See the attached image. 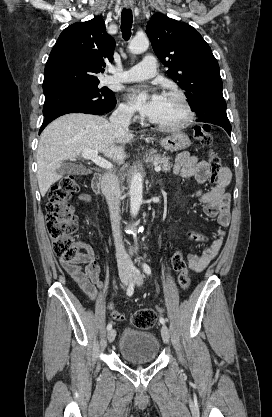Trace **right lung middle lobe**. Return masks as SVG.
<instances>
[{
  "label": "right lung middle lobe",
  "instance_id": "right-lung-middle-lobe-1",
  "mask_svg": "<svg viewBox=\"0 0 272 417\" xmlns=\"http://www.w3.org/2000/svg\"><path fill=\"white\" fill-rule=\"evenodd\" d=\"M98 84L68 85L44 91L43 115L48 116L70 104H90L100 108L110 106L116 101L114 93L106 87L99 88Z\"/></svg>",
  "mask_w": 272,
  "mask_h": 417
}]
</instances>
